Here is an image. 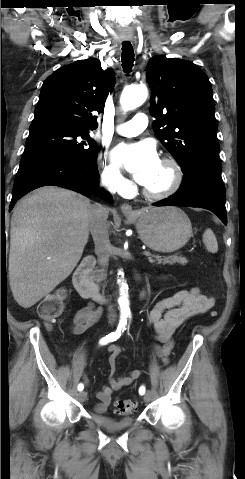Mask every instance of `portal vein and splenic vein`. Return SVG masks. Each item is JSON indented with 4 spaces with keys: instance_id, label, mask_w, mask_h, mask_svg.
Here are the masks:
<instances>
[{
    "instance_id": "1",
    "label": "portal vein and splenic vein",
    "mask_w": 245,
    "mask_h": 479,
    "mask_svg": "<svg viewBox=\"0 0 245 479\" xmlns=\"http://www.w3.org/2000/svg\"><path fill=\"white\" fill-rule=\"evenodd\" d=\"M143 254H144L145 256H151V255H152V254H151L150 252H148V251H145Z\"/></svg>"
}]
</instances>
